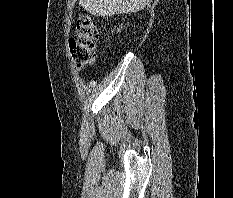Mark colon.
Instances as JSON below:
<instances>
[{
	"label": "colon",
	"instance_id": "1",
	"mask_svg": "<svg viewBox=\"0 0 233 198\" xmlns=\"http://www.w3.org/2000/svg\"><path fill=\"white\" fill-rule=\"evenodd\" d=\"M97 27L87 14L79 17L75 34L69 40L72 57L79 68L91 65L95 59Z\"/></svg>",
	"mask_w": 233,
	"mask_h": 198
}]
</instances>
